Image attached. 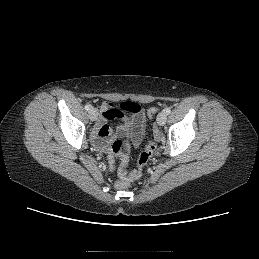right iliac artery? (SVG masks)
Instances as JSON below:
<instances>
[{"instance_id": "1", "label": "right iliac artery", "mask_w": 259, "mask_h": 259, "mask_svg": "<svg viewBox=\"0 0 259 259\" xmlns=\"http://www.w3.org/2000/svg\"><path fill=\"white\" fill-rule=\"evenodd\" d=\"M90 108H91V105H90V104H86V105H85V109H86L87 111H89Z\"/></svg>"}]
</instances>
